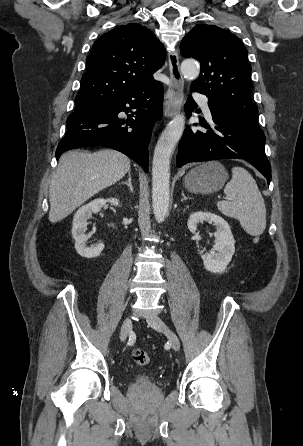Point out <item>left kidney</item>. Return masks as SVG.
<instances>
[{"label":"left kidney","instance_id":"5707ae66","mask_svg":"<svg viewBox=\"0 0 303 446\" xmlns=\"http://www.w3.org/2000/svg\"><path fill=\"white\" fill-rule=\"evenodd\" d=\"M207 221L216 226L213 248L201 255L206 270L213 273H222L235 253V240L230 226L220 216L210 212H194L190 215L187 226L190 232L195 233L199 223Z\"/></svg>","mask_w":303,"mask_h":446}]
</instances>
